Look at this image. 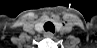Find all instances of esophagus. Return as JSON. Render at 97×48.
<instances>
[{
	"label": "esophagus",
	"instance_id": "1",
	"mask_svg": "<svg viewBox=\"0 0 97 48\" xmlns=\"http://www.w3.org/2000/svg\"><path fill=\"white\" fill-rule=\"evenodd\" d=\"M44 36L48 37V38H52L54 36V34L52 32H45Z\"/></svg>",
	"mask_w": 97,
	"mask_h": 48
}]
</instances>
